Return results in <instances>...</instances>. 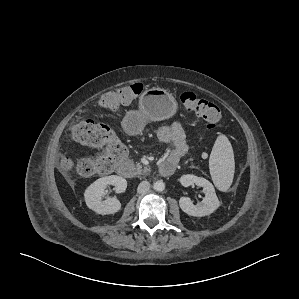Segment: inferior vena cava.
<instances>
[{"instance_id":"obj_1","label":"inferior vena cava","mask_w":299,"mask_h":299,"mask_svg":"<svg viewBox=\"0 0 299 299\" xmlns=\"http://www.w3.org/2000/svg\"><path fill=\"white\" fill-rule=\"evenodd\" d=\"M150 189V183L148 181H142L137 188L139 194L146 193Z\"/></svg>"}]
</instances>
